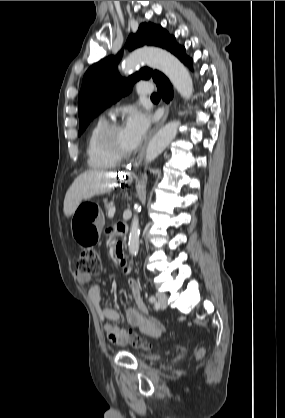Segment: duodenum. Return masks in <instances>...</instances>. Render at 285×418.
Segmentation results:
<instances>
[{"label": "duodenum", "mask_w": 285, "mask_h": 418, "mask_svg": "<svg viewBox=\"0 0 285 418\" xmlns=\"http://www.w3.org/2000/svg\"><path fill=\"white\" fill-rule=\"evenodd\" d=\"M119 231L122 232V233H125L126 232L125 226L121 225L120 228H119Z\"/></svg>", "instance_id": "obj_1"}]
</instances>
